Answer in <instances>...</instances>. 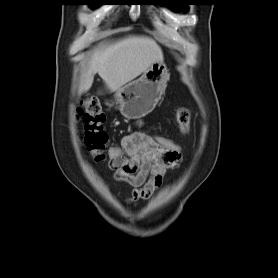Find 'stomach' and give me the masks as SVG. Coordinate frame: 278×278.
I'll list each match as a JSON object with an SVG mask.
<instances>
[{
  "mask_svg": "<svg viewBox=\"0 0 278 278\" xmlns=\"http://www.w3.org/2000/svg\"><path fill=\"white\" fill-rule=\"evenodd\" d=\"M169 78V70L163 61L153 63L139 79L116 91L114 98L121 114L128 119L146 116L161 99Z\"/></svg>",
  "mask_w": 278,
  "mask_h": 278,
  "instance_id": "1",
  "label": "stomach"
}]
</instances>
